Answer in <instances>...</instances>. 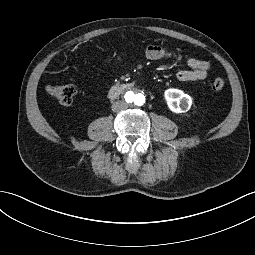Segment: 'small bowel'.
I'll return each instance as SVG.
<instances>
[{"mask_svg":"<svg viewBox=\"0 0 255 255\" xmlns=\"http://www.w3.org/2000/svg\"><path fill=\"white\" fill-rule=\"evenodd\" d=\"M145 57L149 60H172L175 62L181 61V56L174 53L170 49L161 45H149L145 49ZM187 69L180 70L177 73V78L180 81H199L207 77L210 69V63L194 57L186 59Z\"/></svg>","mask_w":255,"mask_h":255,"instance_id":"small-bowel-1","label":"small bowel"}]
</instances>
